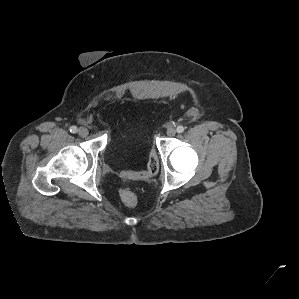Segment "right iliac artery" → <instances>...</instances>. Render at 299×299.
<instances>
[{
    "label": "right iliac artery",
    "mask_w": 299,
    "mask_h": 299,
    "mask_svg": "<svg viewBox=\"0 0 299 299\" xmlns=\"http://www.w3.org/2000/svg\"><path fill=\"white\" fill-rule=\"evenodd\" d=\"M78 131V128L76 126H71L70 127V132L71 133H76Z\"/></svg>",
    "instance_id": "1"
}]
</instances>
